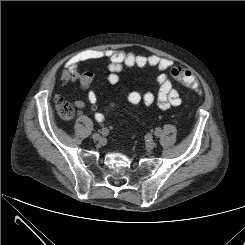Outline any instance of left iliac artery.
Here are the masks:
<instances>
[{"label": "left iliac artery", "mask_w": 245, "mask_h": 245, "mask_svg": "<svg viewBox=\"0 0 245 245\" xmlns=\"http://www.w3.org/2000/svg\"><path fill=\"white\" fill-rule=\"evenodd\" d=\"M160 133H161V130H159V129H157V130L155 131V135H156L157 137L160 136Z\"/></svg>", "instance_id": "1"}]
</instances>
